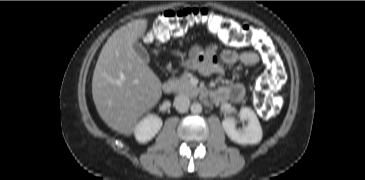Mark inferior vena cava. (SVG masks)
I'll list each match as a JSON object with an SVG mask.
<instances>
[{"label": "inferior vena cava", "mask_w": 365, "mask_h": 180, "mask_svg": "<svg viewBox=\"0 0 365 180\" xmlns=\"http://www.w3.org/2000/svg\"><path fill=\"white\" fill-rule=\"evenodd\" d=\"M174 105H175L177 111L184 113V112L188 111V109H189L190 100H189L188 96H186L184 94H180L175 97Z\"/></svg>", "instance_id": "inferior-vena-cava-1"}]
</instances>
